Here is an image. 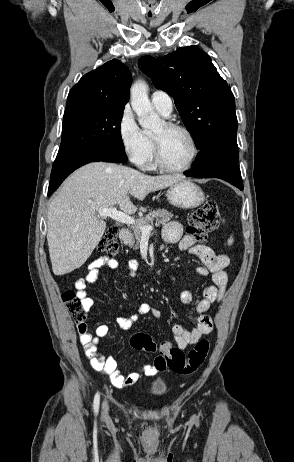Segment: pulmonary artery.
Wrapping results in <instances>:
<instances>
[{"label":"pulmonary artery","mask_w":294,"mask_h":462,"mask_svg":"<svg viewBox=\"0 0 294 462\" xmlns=\"http://www.w3.org/2000/svg\"><path fill=\"white\" fill-rule=\"evenodd\" d=\"M151 102L158 111L166 116L170 115L173 111L172 98L165 91H154L151 95Z\"/></svg>","instance_id":"1"}]
</instances>
